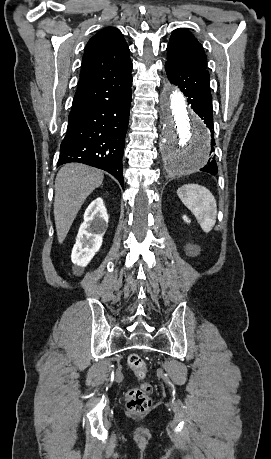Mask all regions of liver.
<instances>
[{
	"label": "liver",
	"instance_id": "obj_1",
	"mask_svg": "<svg viewBox=\"0 0 271 459\" xmlns=\"http://www.w3.org/2000/svg\"><path fill=\"white\" fill-rule=\"evenodd\" d=\"M103 172L84 164H65L55 182L54 220L59 243H63L82 204L103 182Z\"/></svg>",
	"mask_w": 271,
	"mask_h": 459
}]
</instances>
